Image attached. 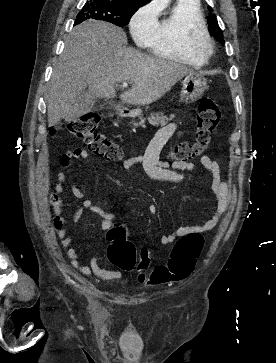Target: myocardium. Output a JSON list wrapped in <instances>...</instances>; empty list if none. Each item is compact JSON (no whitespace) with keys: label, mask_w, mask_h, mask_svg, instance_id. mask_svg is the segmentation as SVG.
Instances as JSON below:
<instances>
[{"label":"myocardium","mask_w":276,"mask_h":363,"mask_svg":"<svg viewBox=\"0 0 276 363\" xmlns=\"http://www.w3.org/2000/svg\"><path fill=\"white\" fill-rule=\"evenodd\" d=\"M202 36L205 41V46L201 47L197 43V39ZM186 46L188 51L198 58L206 61L213 53V40L206 28L193 26L188 30L186 36Z\"/></svg>","instance_id":"myocardium-1"}]
</instances>
